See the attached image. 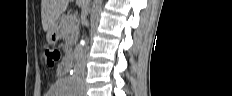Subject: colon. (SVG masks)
<instances>
[{
    "label": "colon",
    "instance_id": "5ec220e1",
    "mask_svg": "<svg viewBox=\"0 0 232 96\" xmlns=\"http://www.w3.org/2000/svg\"><path fill=\"white\" fill-rule=\"evenodd\" d=\"M45 57H46L47 63L49 65H54L55 63H57L60 60L61 53L56 48H48L45 51Z\"/></svg>",
    "mask_w": 232,
    "mask_h": 96
}]
</instances>
